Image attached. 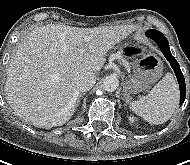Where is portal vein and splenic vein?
<instances>
[{"instance_id":"portal-vein-and-splenic-vein-1","label":"portal vein and splenic vein","mask_w":190,"mask_h":165,"mask_svg":"<svg viewBox=\"0 0 190 165\" xmlns=\"http://www.w3.org/2000/svg\"><path fill=\"white\" fill-rule=\"evenodd\" d=\"M87 40L89 41L90 39L87 38ZM79 52H80V53H85V52H86V49H79Z\"/></svg>"}]
</instances>
